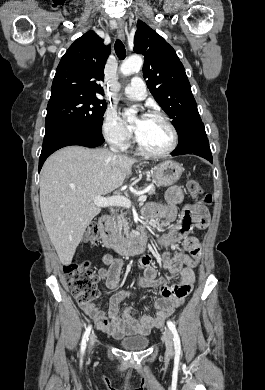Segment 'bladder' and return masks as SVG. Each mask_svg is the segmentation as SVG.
<instances>
[{
  "label": "bladder",
  "mask_w": 265,
  "mask_h": 390,
  "mask_svg": "<svg viewBox=\"0 0 265 390\" xmlns=\"http://www.w3.org/2000/svg\"><path fill=\"white\" fill-rule=\"evenodd\" d=\"M149 339L144 336L123 337L118 341V345L128 351L144 350L149 345Z\"/></svg>",
  "instance_id": "1"
}]
</instances>
